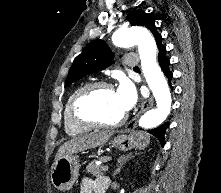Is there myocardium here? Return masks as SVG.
<instances>
[{"mask_svg": "<svg viewBox=\"0 0 221 193\" xmlns=\"http://www.w3.org/2000/svg\"><path fill=\"white\" fill-rule=\"evenodd\" d=\"M102 89H114V86L110 82L95 81L83 85L74 95L71 104V114L73 119L80 125L90 128H116L121 126L127 119V115L124 114L121 118L114 122L103 121L93 115H87L83 113V102L92 96L96 91Z\"/></svg>", "mask_w": 221, "mask_h": 193, "instance_id": "1", "label": "myocardium"}]
</instances>
